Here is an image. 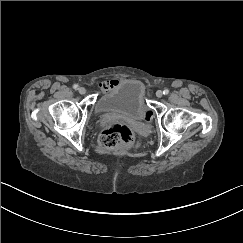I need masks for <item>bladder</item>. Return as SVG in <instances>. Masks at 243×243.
Here are the masks:
<instances>
[{
  "mask_svg": "<svg viewBox=\"0 0 243 243\" xmlns=\"http://www.w3.org/2000/svg\"><path fill=\"white\" fill-rule=\"evenodd\" d=\"M94 108L99 114L146 120L149 113L145 103V85L138 79H123L103 93L96 100Z\"/></svg>",
  "mask_w": 243,
  "mask_h": 243,
  "instance_id": "obj_1",
  "label": "bladder"
}]
</instances>
